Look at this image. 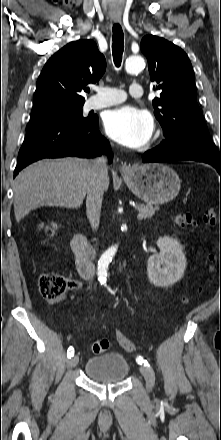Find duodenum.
Wrapping results in <instances>:
<instances>
[{"label":"duodenum","mask_w":221,"mask_h":440,"mask_svg":"<svg viewBox=\"0 0 221 440\" xmlns=\"http://www.w3.org/2000/svg\"><path fill=\"white\" fill-rule=\"evenodd\" d=\"M71 249L75 256V265L79 275L86 279H91L95 275V266L87 251V238L83 234H76L71 241ZM127 263H120L118 270L125 269Z\"/></svg>","instance_id":"1"}]
</instances>
